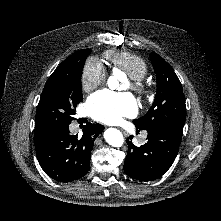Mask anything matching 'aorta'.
<instances>
[{"label": "aorta", "mask_w": 221, "mask_h": 221, "mask_svg": "<svg viewBox=\"0 0 221 221\" xmlns=\"http://www.w3.org/2000/svg\"><path fill=\"white\" fill-rule=\"evenodd\" d=\"M108 86L110 89H116L118 86V80L114 76H110L108 79ZM104 138L106 142L114 147H121L124 142L122 133L115 129L109 128L104 132Z\"/></svg>", "instance_id": "obj_1"}]
</instances>
